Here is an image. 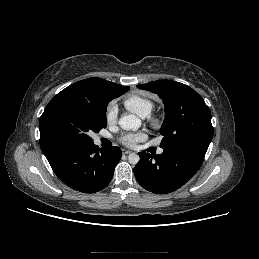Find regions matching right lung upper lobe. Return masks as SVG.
Returning <instances> with one entry per match:
<instances>
[{"label": "right lung upper lobe", "mask_w": 259, "mask_h": 259, "mask_svg": "<svg viewBox=\"0 0 259 259\" xmlns=\"http://www.w3.org/2000/svg\"><path fill=\"white\" fill-rule=\"evenodd\" d=\"M125 90L128 91L129 87L121 86L100 78H88L68 86L57 95H69L97 107H103L109 102L108 96L110 93ZM40 119L42 120V118ZM43 153L47 155L49 152Z\"/></svg>", "instance_id": "cb5924a9"}]
</instances>
